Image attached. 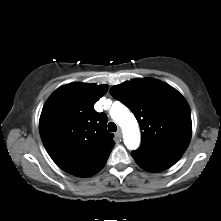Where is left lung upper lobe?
Wrapping results in <instances>:
<instances>
[{
	"instance_id": "1",
	"label": "left lung upper lobe",
	"mask_w": 221,
	"mask_h": 221,
	"mask_svg": "<svg viewBox=\"0 0 221 221\" xmlns=\"http://www.w3.org/2000/svg\"><path fill=\"white\" fill-rule=\"evenodd\" d=\"M110 94L137 118L142 143L134 153L152 157H181L192 133L191 112L184 97L156 79L137 78L113 86Z\"/></svg>"
}]
</instances>
